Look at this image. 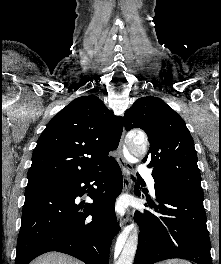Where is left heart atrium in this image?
Masks as SVG:
<instances>
[{
  "label": "left heart atrium",
  "instance_id": "39dd6f15",
  "mask_svg": "<svg viewBox=\"0 0 221 264\" xmlns=\"http://www.w3.org/2000/svg\"><path fill=\"white\" fill-rule=\"evenodd\" d=\"M125 208V201L123 199H120L116 204V209L118 212H122Z\"/></svg>",
  "mask_w": 221,
  "mask_h": 264
}]
</instances>
